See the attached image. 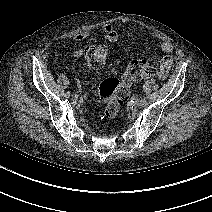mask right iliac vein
Instances as JSON below:
<instances>
[{"instance_id": "1", "label": "right iliac vein", "mask_w": 212, "mask_h": 212, "mask_svg": "<svg viewBox=\"0 0 212 212\" xmlns=\"http://www.w3.org/2000/svg\"><path fill=\"white\" fill-rule=\"evenodd\" d=\"M72 100L73 101H77L78 100V95H76V94L72 95Z\"/></svg>"}]
</instances>
